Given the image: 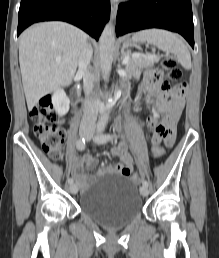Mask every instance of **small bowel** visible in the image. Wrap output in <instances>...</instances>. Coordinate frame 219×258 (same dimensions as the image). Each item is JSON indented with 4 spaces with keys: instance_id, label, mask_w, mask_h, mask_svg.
<instances>
[{
    "instance_id": "1",
    "label": "small bowel",
    "mask_w": 219,
    "mask_h": 258,
    "mask_svg": "<svg viewBox=\"0 0 219 258\" xmlns=\"http://www.w3.org/2000/svg\"><path fill=\"white\" fill-rule=\"evenodd\" d=\"M143 85L151 96L155 98V104L159 111L165 113V118L161 124L157 123L155 118H147L146 123L142 125L150 127V133L153 134L152 142L161 143L172 147L175 142V129L179 120L181 111L185 101V90L178 87L168 90L166 85L162 83V75L158 69H149L144 77ZM120 121L114 124L115 129H120ZM113 155L121 159L116 166H108L101 169L104 171H118L122 175L128 176L133 172V157L127 151L125 143H120L113 151ZM116 160L115 158L113 159ZM97 159L85 154L82 157H71V173L82 189L89 187L92 178L83 172V167L94 168L97 165Z\"/></svg>"
}]
</instances>
